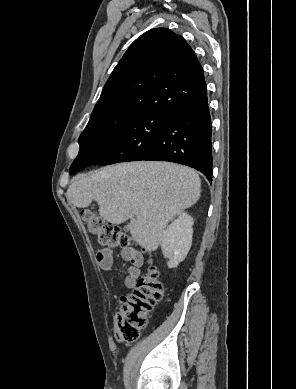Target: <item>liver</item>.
<instances>
[{
	"mask_svg": "<svg viewBox=\"0 0 296 389\" xmlns=\"http://www.w3.org/2000/svg\"><path fill=\"white\" fill-rule=\"evenodd\" d=\"M200 193L201 181L193 169L170 162L141 161L105 167L77 178L66 197L78 208L95 200L101 218L114 225L130 219L133 239L154 251L169 221L194 205Z\"/></svg>",
	"mask_w": 296,
	"mask_h": 389,
	"instance_id": "6515ba94",
	"label": "liver"
}]
</instances>
